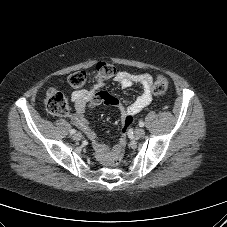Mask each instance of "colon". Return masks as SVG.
Listing matches in <instances>:
<instances>
[{"label": "colon", "instance_id": "colon-1", "mask_svg": "<svg viewBox=\"0 0 227 227\" xmlns=\"http://www.w3.org/2000/svg\"><path fill=\"white\" fill-rule=\"evenodd\" d=\"M115 75L116 69L112 64L107 62H99L96 65L94 78L97 83H102L105 80L113 78ZM86 81L87 76L83 71L75 72L69 77V84L75 89L82 88L85 85ZM167 88V79L162 75H158L152 87V92L157 96H161L166 92ZM44 103L48 112L56 116H66L70 111L68 99L64 94L55 89H50L47 92ZM133 120V117L127 118L124 125V131L132 124ZM123 158L124 151L123 146L121 145L120 147H118L113 156V165L119 166L122 163Z\"/></svg>", "mask_w": 227, "mask_h": 227}]
</instances>
